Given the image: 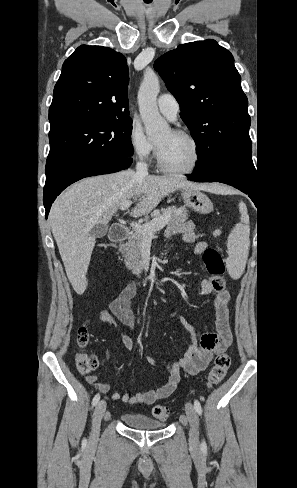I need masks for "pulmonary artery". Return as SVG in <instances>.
I'll list each match as a JSON object with an SVG mask.
<instances>
[{
  "instance_id": "pulmonary-artery-1",
  "label": "pulmonary artery",
  "mask_w": 297,
  "mask_h": 488,
  "mask_svg": "<svg viewBox=\"0 0 297 488\" xmlns=\"http://www.w3.org/2000/svg\"><path fill=\"white\" fill-rule=\"evenodd\" d=\"M159 111L170 120H175L179 112V104L176 98L169 93L159 96L158 101Z\"/></svg>"
}]
</instances>
